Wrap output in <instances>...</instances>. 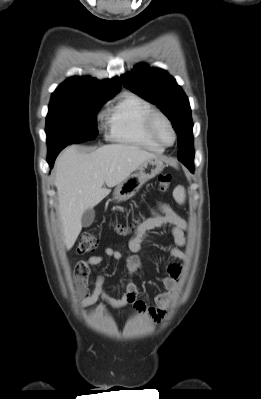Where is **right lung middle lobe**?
I'll return each instance as SVG.
<instances>
[{
  "label": "right lung middle lobe",
  "mask_w": 261,
  "mask_h": 399,
  "mask_svg": "<svg viewBox=\"0 0 261 399\" xmlns=\"http://www.w3.org/2000/svg\"><path fill=\"white\" fill-rule=\"evenodd\" d=\"M110 98L53 99L46 117L48 148L95 139L96 113Z\"/></svg>",
  "instance_id": "1"
}]
</instances>
